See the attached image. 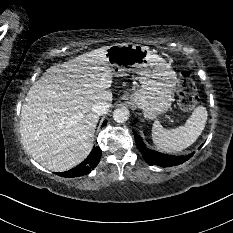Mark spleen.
I'll return each mask as SVG.
<instances>
[{
    "label": "spleen",
    "mask_w": 233,
    "mask_h": 233,
    "mask_svg": "<svg viewBox=\"0 0 233 233\" xmlns=\"http://www.w3.org/2000/svg\"><path fill=\"white\" fill-rule=\"evenodd\" d=\"M208 113L204 106L194 109L192 115L183 126L165 129L159 121L152 127V140L156 148L162 152L176 153L191 146L205 128Z\"/></svg>",
    "instance_id": "3e777b00"
}]
</instances>
